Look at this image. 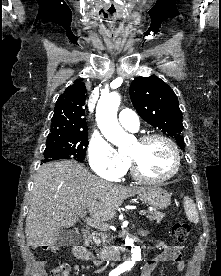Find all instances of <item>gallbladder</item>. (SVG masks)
Returning <instances> with one entry per match:
<instances>
[{
	"label": "gallbladder",
	"mask_w": 221,
	"mask_h": 276,
	"mask_svg": "<svg viewBox=\"0 0 221 276\" xmlns=\"http://www.w3.org/2000/svg\"><path fill=\"white\" fill-rule=\"evenodd\" d=\"M78 240V233L61 229L56 244L59 246H71L76 244Z\"/></svg>",
	"instance_id": "obj_1"
}]
</instances>
